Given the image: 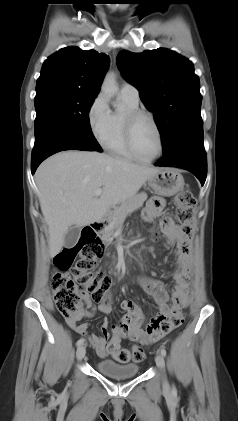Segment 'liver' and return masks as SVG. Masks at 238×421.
<instances>
[{"label": "liver", "instance_id": "6515ba94", "mask_svg": "<svg viewBox=\"0 0 238 421\" xmlns=\"http://www.w3.org/2000/svg\"><path fill=\"white\" fill-rule=\"evenodd\" d=\"M159 170L94 151H64L45 160L35 181L49 228L50 256L61 251L70 227L101 220L112 207L135 196ZM98 189L102 194L96 198Z\"/></svg>", "mask_w": 238, "mask_h": 421}]
</instances>
